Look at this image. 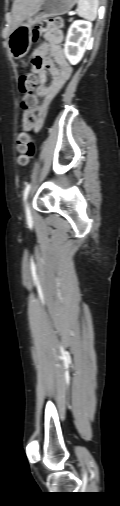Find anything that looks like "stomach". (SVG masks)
Instances as JSON below:
<instances>
[{"label": "stomach", "mask_w": 120, "mask_h": 506, "mask_svg": "<svg viewBox=\"0 0 120 506\" xmlns=\"http://www.w3.org/2000/svg\"><path fill=\"white\" fill-rule=\"evenodd\" d=\"M77 1L78 0H42L40 5L30 13L26 21L10 33L7 42L11 55L16 59L25 56L32 42V26L47 17L67 13Z\"/></svg>", "instance_id": "0dacf381"}]
</instances>
